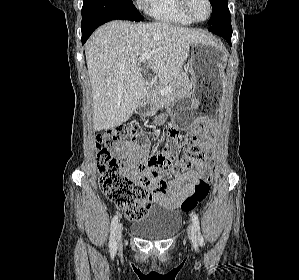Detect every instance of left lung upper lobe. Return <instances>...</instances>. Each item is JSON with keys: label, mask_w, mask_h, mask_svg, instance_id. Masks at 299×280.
<instances>
[{"label": "left lung upper lobe", "mask_w": 299, "mask_h": 280, "mask_svg": "<svg viewBox=\"0 0 299 280\" xmlns=\"http://www.w3.org/2000/svg\"><path fill=\"white\" fill-rule=\"evenodd\" d=\"M212 5V16L208 21L209 25H212L218 20L220 13L224 10V5L228 3V0H209Z\"/></svg>", "instance_id": "1"}]
</instances>
